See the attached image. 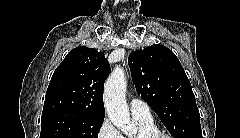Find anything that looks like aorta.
<instances>
[{"label":"aorta","mask_w":240,"mask_h":138,"mask_svg":"<svg viewBox=\"0 0 240 138\" xmlns=\"http://www.w3.org/2000/svg\"><path fill=\"white\" fill-rule=\"evenodd\" d=\"M126 87L124 70L116 67L105 83L104 104L111 122L127 136H132L136 128L130 120L125 99Z\"/></svg>","instance_id":"aorta-1"}]
</instances>
